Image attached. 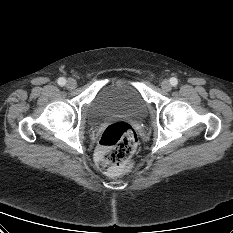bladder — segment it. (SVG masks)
Masks as SVG:
<instances>
[{
	"mask_svg": "<svg viewBox=\"0 0 233 233\" xmlns=\"http://www.w3.org/2000/svg\"><path fill=\"white\" fill-rule=\"evenodd\" d=\"M148 111L138 81L132 77L121 78L103 85L90 102L87 119L98 124L114 116L143 118Z\"/></svg>",
	"mask_w": 233,
	"mask_h": 233,
	"instance_id": "1",
	"label": "bladder"
}]
</instances>
